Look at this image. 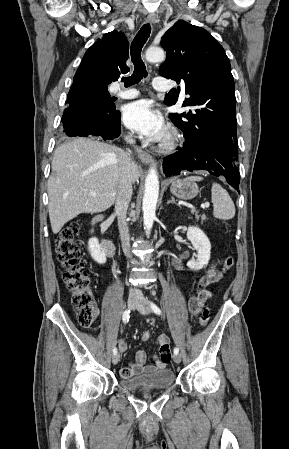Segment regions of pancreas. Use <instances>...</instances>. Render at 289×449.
<instances>
[{
    "label": "pancreas",
    "instance_id": "1",
    "mask_svg": "<svg viewBox=\"0 0 289 449\" xmlns=\"http://www.w3.org/2000/svg\"><path fill=\"white\" fill-rule=\"evenodd\" d=\"M195 215H196V219L198 220V219H199V215H198L197 213H196ZM206 219H207V218H206L205 215H202V216H201L202 222L205 221Z\"/></svg>",
    "mask_w": 289,
    "mask_h": 449
}]
</instances>
